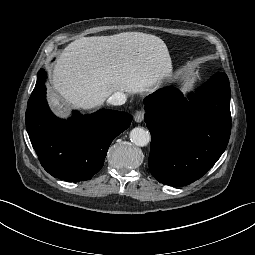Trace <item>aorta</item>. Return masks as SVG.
<instances>
[{
	"mask_svg": "<svg viewBox=\"0 0 255 255\" xmlns=\"http://www.w3.org/2000/svg\"><path fill=\"white\" fill-rule=\"evenodd\" d=\"M130 140L136 146L144 147L150 142V133L141 127H136L130 132Z\"/></svg>",
	"mask_w": 255,
	"mask_h": 255,
	"instance_id": "1",
	"label": "aorta"
}]
</instances>
